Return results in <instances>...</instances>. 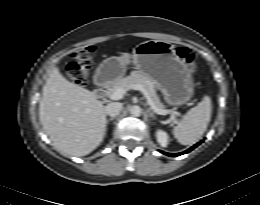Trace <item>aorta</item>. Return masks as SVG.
I'll return each mask as SVG.
<instances>
[{
	"label": "aorta",
	"mask_w": 260,
	"mask_h": 205,
	"mask_svg": "<svg viewBox=\"0 0 260 205\" xmlns=\"http://www.w3.org/2000/svg\"><path fill=\"white\" fill-rule=\"evenodd\" d=\"M129 112H130L133 116L138 117V116L141 115L142 109L140 108V106L134 105V106L130 107Z\"/></svg>",
	"instance_id": "762f6f07"
}]
</instances>
